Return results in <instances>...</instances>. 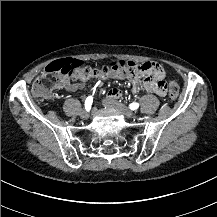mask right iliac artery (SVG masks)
<instances>
[{"label":"right iliac artery","instance_id":"right-iliac-artery-1","mask_svg":"<svg viewBox=\"0 0 217 217\" xmlns=\"http://www.w3.org/2000/svg\"><path fill=\"white\" fill-rule=\"evenodd\" d=\"M92 102H93V97L92 96H88L86 98V100H85V109L87 111H89L91 109Z\"/></svg>","mask_w":217,"mask_h":217}]
</instances>
